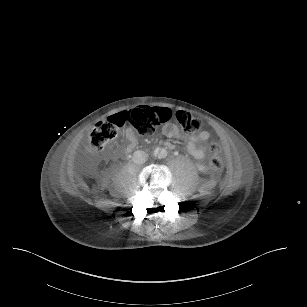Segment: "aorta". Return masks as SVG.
Wrapping results in <instances>:
<instances>
[{"mask_svg": "<svg viewBox=\"0 0 307 307\" xmlns=\"http://www.w3.org/2000/svg\"><path fill=\"white\" fill-rule=\"evenodd\" d=\"M165 154H167V150L161 149V151L159 152L158 156H159L160 158H165V157H166Z\"/></svg>", "mask_w": 307, "mask_h": 307, "instance_id": "aorta-1", "label": "aorta"}]
</instances>
